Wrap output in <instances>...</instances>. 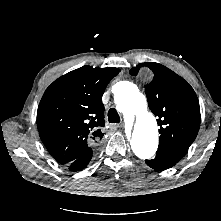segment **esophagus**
I'll use <instances>...</instances> for the list:
<instances>
[{
	"label": "esophagus",
	"instance_id": "34e87169",
	"mask_svg": "<svg viewBox=\"0 0 221 221\" xmlns=\"http://www.w3.org/2000/svg\"><path fill=\"white\" fill-rule=\"evenodd\" d=\"M124 125L123 124H113L112 127L114 128H122Z\"/></svg>",
	"mask_w": 221,
	"mask_h": 221
}]
</instances>
